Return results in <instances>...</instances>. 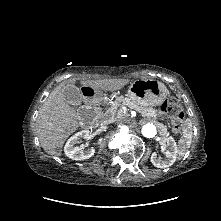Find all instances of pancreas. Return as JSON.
<instances>
[{
	"label": "pancreas",
	"mask_w": 221,
	"mask_h": 221,
	"mask_svg": "<svg viewBox=\"0 0 221 221\" xmlns=\"http://www.w3.org/2000/svg\"><path fill=\"white\" fill-rule=\"evenodd\" d=\"M127 105L131 109H135L142 114V116L147 118H152L156 120L159 118L157 110L152 107L140 106L134 102H132L129 98L119 96L115 99L112 105L108 108L105 113H102V118L107 122H111L114 119H119L124 116H127V112L123 111V106Z\"/></svg>",
	"instance_id": "cf45deb5"
}]
</instances>
